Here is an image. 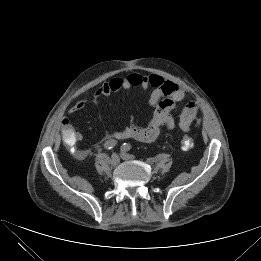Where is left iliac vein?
<instances>
[{
  "mask_svg": "<svg viewBox=\"0 0 261 261\" xmlns=\"http://www.w3.org/2000/svg\"><path fill=\"white\" fill-rule=\"evenodd\" d=\"M121 158H122L123 160H130V159H132L133 157H132L130 154H127V153H125V152H122V153H121Z\"/></svg>",
  "mask_w": 261,
  "mask_h": 261,
  "instance_id": "4c4485c4",
  "label": "left iliac vein"
}]
</instances>
